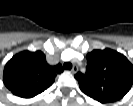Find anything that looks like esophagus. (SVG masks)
Returning <instances> with one entry per match:
<instances>
[{"label": "esophagus", "mask_w": 133, "mask_h": 106, "mask_svg": "<svg viewBox=\"0 0 133 106\" xmlns=\"http://www.w3.org/2000/svg\"><path fill=\"white\" fill-rule=\"evenodd\" d=\"M77 71H78V66L74 65V66L72 67V69H71V72H72L73 74H75V73H77Z\"/></svg>", "instance_id": "obj_1"}]
</instances>
